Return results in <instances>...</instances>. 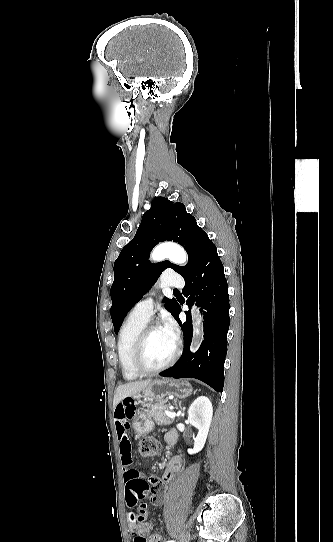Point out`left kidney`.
<instances>
[{
  "mask_svg": "<svg viewBox=\"0 0 333 542\" xmlns=\"http://www.w3.org/2000/svg\"><path fill=\"white\" fill-rule=\"evenodd\" d=\"M212 418L213 408L209 398L206 396L196 398L188 410V422L199 432L194 440V448L188 450V454H197L204 448Z\"/></svg>",
  "mask_w": 333,
  "mask_h": 542,
  "instance_id": "obj_1",
  "label": "left kidney"
}]
</instances>
